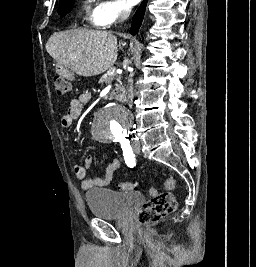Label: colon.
I'll return each instance as SVG.
<instances>
[{"mask_svg": "<svg viewBox=\"0 0 256 267\" xmlns=\"http://www.w3.org/2000/svg\"><path fill=\"white\" fill-rule=\"evenodd\" d=\"M54 87L58 96H65L71 91L70 81H66V77L56 76ZM120 190L122 191H136L137 184L135 182H121ZM166 189L176 188V182L173 177L168 176L165 180ZM151 197L137 212L138 223L142 224V228H151L152 222H157L166 216L170 215L176 210L177 202L172 196V193H161L157 195L155 189L149 190Z\"/></svg>", "mask_w": 256, "mask_h": 267, "instance_id": "5ec220e1", "label": "colon"}]
</instances>
